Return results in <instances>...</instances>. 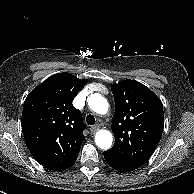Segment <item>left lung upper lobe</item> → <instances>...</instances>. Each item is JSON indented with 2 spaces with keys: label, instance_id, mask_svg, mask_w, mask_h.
Returning a JSON list of instances; mask_svg holds the SVG:
<instances>
[{
  "label": "left lung upper lobe",
  "instance_id": "obj_1",
  "mask_svg": "<svg viewBox=\"0 0 194 194\" xmlns=\"http://www.w3.org/2000/svg\"><path fill=\"white\" fill-rule=\"evenodd\" d=\"M115 100L112 118L114 146L106 152L142 166L155 151L164 126L163 104L145 85L124 80L113 84Z\"/></svg>",
  "mask_w": 194,
  "mask_h": 194
}]
</instances>
